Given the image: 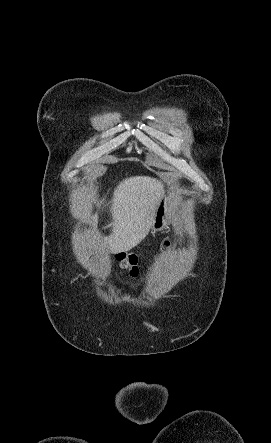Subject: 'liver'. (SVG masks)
Instances as JSON below:
<instances>
[{"label": "liver", "instance_id": "obj_1", "mask_svg": "<svg viewBox=\"0 0 271 443\" xmlns=\"http://www.w3.org/2000/svg\"><path fill=\"white\" fill-rule=\"evenodd\" d=\"M163 194L165 188L156 178L135 176L119 182L111 202H108L112 222L106 227H112V233L108 235L105 247L111 253L129 251L146 237ZM90 223L95 231L96 223Z\"/></svg>", "mask_w": 271, "mask_h": 443}]
</instances>
